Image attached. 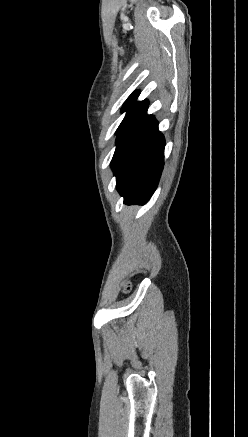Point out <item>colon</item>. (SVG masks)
Here are the masks:
<instances>
[{
	"instance_id": "1",
	"label": "colon",
	"mask_w": 248,
	"mask_h": 437,
	"mask_svg": "<svg viewBox=\"0 0 248 437\" xmlns=\"http://www.w3.org/2000/svg\"><path fill=\"white\" fill-rule=\"evenodd\" d=\"M130 288H131L130 284H129V283H125V284L123 285V287H122V291H123L124 293H127V292L130 290Z\"/></svg>"
}]
</instances>
